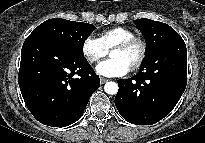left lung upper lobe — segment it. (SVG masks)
I'll return each mask as SVG.
<instances>
[{
  "label": "left lung upper lobe",
  "mask_w": 205,
  "mask_h": 143,
  "mask_svg": "<svg viewBox=\"0 0 205 143\" xmlns=\"http://www.w3.org/2000/svg\"><path fill=\"white\" fill-rule=\"evenodd\" d=\"M134 22L142 32L147 44L146 56L140 69L145 70L152 65L157 66L164 62L167 57L164 56L162 59L156 58L154 55L156 50L166 42L181 36L169 25L162 22L147 18L138 19Z\"/></svg>",
  "instance_id": "5c2ea615"
}]
</instances>
